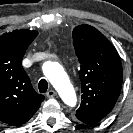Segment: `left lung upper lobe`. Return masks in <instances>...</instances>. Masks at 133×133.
I'll return each instance as SVG.
<instances>
[{"instance_id":"left-lung-upper-lobe-1","label":"left lung upper lobe","mask_w":133,"mask_h":133,"mask_svg":"<svg viewBox=\"0 0 133 133\" xmlns=\"http://www.w3.org/2000/svg\"><path fill=\"white\" fill-rule=\"evenodd\" d=\"M73 45L81 64L82 101L76 116L99 122L120 94L123 72L118 53L102 33L86 24L74 28Z\"/></svg>"}]
</instances>
